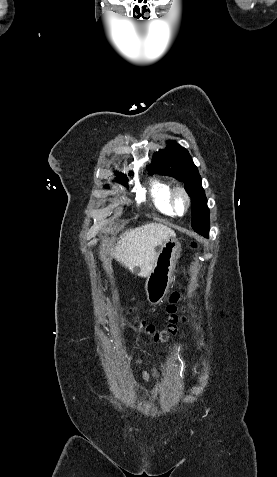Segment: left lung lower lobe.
Returning a JSON list of instances; mask_svg holds the SVG:
<instances>
[{
	"label": "left lung lower lobe",
	"mask_w": 277,
	"mask_h": 477,
	"mask_svg": "<svg viewBox=\"0 0 277 477\" xmlns=\"http://www.w3.org/2000/svg\"><path fill=\"white\" fill-rule=\"evenodd\" d=\"M196 232L199 233V234H201V235H203V236H205V237H208L209 227H208L207 229H205V230H198V231H196Z\"/></svg>",
	"instance_id": "0a47b994"
}]
</instances>
